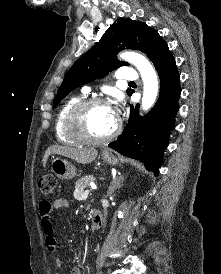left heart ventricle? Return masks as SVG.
Masks as SVG:
<instances>
[{
	"label": "left heart ventricle",
	"instance_id": "left-heart-ventricle-1",
	"mask_svg": "<svg viewBox=\"0 0 221 274\" xmlns=\"http://www.w3.org/2000/svg\"><path fill=\"white\" fill-rule=\"evenodd\" d=\"M116 117L109 105L92 107L86 114L85 129L93 137H103L114 128Z\"/></svg>",
	"mask_w": 221,
	"mask_h": 274
}]
</instances>
